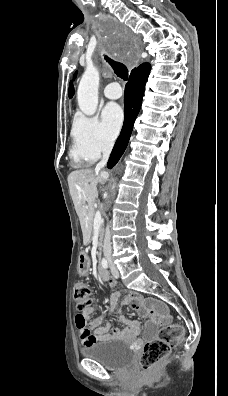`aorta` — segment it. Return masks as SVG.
Wrapping results in <instances>:
<instances>
[{"mask_svg": "<svg viewBox=\"0 0 228 396\" xmlns=\"http://www.w3.org/2000/svg\"><path fill=\"white\" fill-rule=\"evenodd\" d=\"M98 87L99 71L94 66H88L80 80L77 91L78 105L85 115L92 116L97 110Z\"/></svg>", "mask_w": 228, "mask_h": 396, "instance_id": "1", "label": "aorta"}]
</instances>
